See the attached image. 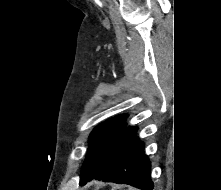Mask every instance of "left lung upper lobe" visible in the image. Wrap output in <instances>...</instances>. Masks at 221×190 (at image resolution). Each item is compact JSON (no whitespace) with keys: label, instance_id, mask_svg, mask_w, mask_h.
<instances>
[{"label":"left lung upper lobe","instance_id":"5c2ea615","mask_svg":"<svg viewBox=\"0 0 221 190\" xmlns=\"http://www.w3.org/2000/svg\"><path fill=\"white\" fill-rule=\"evenodd\" d=\"M126 114L118 115L99 124L89 136L88 155L83 163L80 178L89 174L102 153L126 127Z\"/></svg>","mask_w":221,"mask_h":190}]
</instances>
